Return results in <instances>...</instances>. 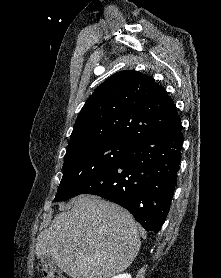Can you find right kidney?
Masks as SVG:
<instances>
[{
	"label": "right kidney",
	"instance_id": "obj_1",
	"mask_svg": "<svg viewBox=\"0 0 221 278\" xmlns=\"http://www.w3.org/2000/svg\"><path fill=\"white\" fill-rule=\"evenodd\" d=\"M111 278H132V277L130 274L124 273V274H119V275L111 277Z\"/></svg>",
	"mask_w": 221,
	"mask_h": 278
}]
</instances>
